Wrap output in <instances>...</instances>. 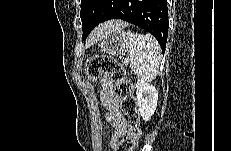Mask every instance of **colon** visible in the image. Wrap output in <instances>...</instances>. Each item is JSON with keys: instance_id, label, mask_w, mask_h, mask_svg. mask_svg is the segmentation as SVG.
<instances>
[{"instance_id": "colon-1", "label": "colon", "mask_w": 231, "mask_h": 151, "mask_svg": "<svg viewBox=\"0 0 231 151\" xmlns=\"http://www.w3.org/2000/svg\"><path fill=\"white\" fill-rule=\"evenodd\" d=\"M86 73L90 80H96L101 75L110 77L114 87L113 92L120 100L124 119L129 127L114 149L115 151H133L141 135L140 115L133 94L134 86L128 79L125 68L112 56L96 55L87 61Z\"/></svg>"}]
</instances>
